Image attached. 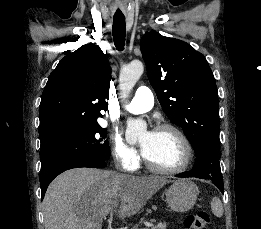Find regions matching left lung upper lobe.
<instances>
[{"label": "left lung upper lobe", "instance_id": "left-lung-upper-lobe-1", "mask_svg": "<svg viewBox=\"0 0 261 229\" xmlns=\"http://www.w3.org/2000/svg\"><path fill=\"white\" fill-rule=\"evenodd\" d=\"M140 48L164 112L183 129L195 154L219 148L218 93L204 55L186 42L152 31L142 37Z\"/></svg>", "mask_w": 261, "mask_h": 229}]
</instances>
